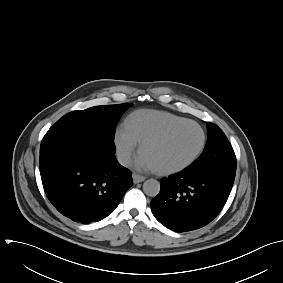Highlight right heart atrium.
Returning <instances> with one entry per match:
<instances>
[{
    "mask_svg": "<svg viewBox=\"0 0 283 283\" xmlns=\"http://www.w3.org/2000/svg\"><path fill=\"white\" fill-rule=\"evenodd\" d=\"M113 143L118 160L124 165L130 164L137 147V142L128 133L124 125L116 129Z\"/></svg>",
    "mask_w": 283,
    "mask_h": 283,
    "instance_id": "d8ad5b80",
    "label": "right heart atrium"
}]
</instances>
